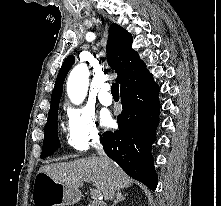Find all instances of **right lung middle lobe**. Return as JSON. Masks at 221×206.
I'll list each match as a JSON object with an SVG mask.
<instances>
[{
    "label": "right lung middle lobe",
    "mask_w": 221,
    "mask_h": 206,
    "mask_svg": "<svg viewBox=\"0 0 221 206\" xmlns=\"http://www.w3.org/2000/svg\"><path fill=\"white\" fill-rule=\"evenodd\" d=\"M58 107L48 114V121L45 126L44 142L42 147L41 158H45L55 152L59 147L57 135L58 127Z\"/></svg>",
    "instance_id": "1"
}]
</instances>
